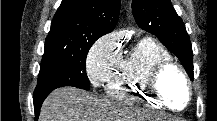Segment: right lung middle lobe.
Wrapping results in <instances>:
<instances>
[{
	"mask_svg": "<svg viewBox=\"0 0 217 121\" xmlns=\"http://www.w3.org/2000/svg\"><path fill=\"white\" fill-rule=\"evenodd\" d=\"M96 40L71 41L46 38L38 83L34 97L50 93L63 86L89 90L85 62Z\"/></svg>",
	"mask_w": 217,
	"mask_h": 121,
	"instance_id": "1",
	"label": "right lung middle lobe"
}]
</instances>
